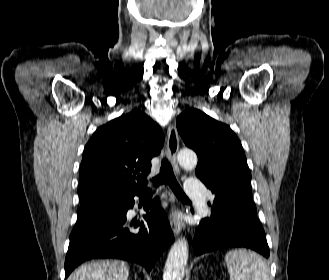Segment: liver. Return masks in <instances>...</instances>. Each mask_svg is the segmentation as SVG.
Instances as JSON below:
<instances>
[{
  "mask_svg": "<svg viewBox=\"0 0 329 280\" xmlns=\"http://www.w3.org/2000/svg\"><path fill=\"white\" fill-rule=\"evenodd\" d=\"M129 268L117 260L91 262L77 269L68 280H127Z\"/></svg>",
  "mask_w": 329,
  "mask_h": 280,
  "instance_id": "liver-1",
  "label": "liver"
}]
</instances>
